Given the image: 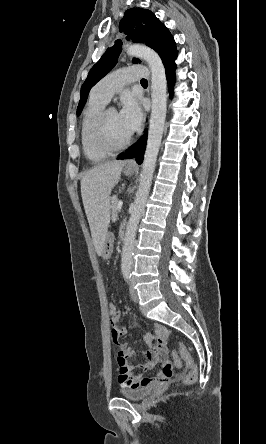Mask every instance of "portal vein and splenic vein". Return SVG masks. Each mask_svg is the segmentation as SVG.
Returning <instances> with one entry per match:
<instances>
[{
	"mask_svg": "<svg viewBox=\"0 0 266 444\" xmlns=\"http://www.w3.org/2000/svg\"><path fill=\"white\" fill-rule=\"evenodd\" d=\"M122 201L120 200L119 202H118V206H117V208H118V210L120 211L121 210V208H122Z\"/></svg>",
	"mask_w": 266,
	"mask_h": 444,
	"instance_id": "18ae733b",
	"label": "portal vein and splenic vein"
}]
</instances>
